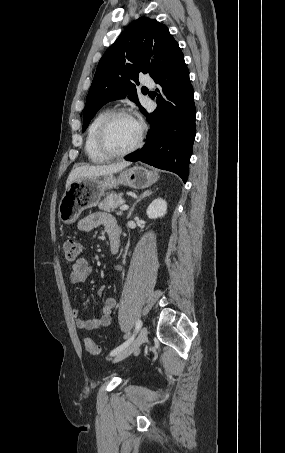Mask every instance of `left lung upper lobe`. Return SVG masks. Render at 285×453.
I'll return each instance as SVG.
<instances>
[{
    "label": "left lung upper lobe",
    "instance_id": "left-lung-upper-lobe-1",
    "mask_svg": "<svg viewBox=\"0 0 285 453\" xmlns=\"http://www.w3.org/2000/svg\"><path fill=\"white\" fill-rule=\"evenodd\" d=\"M177 44L168 27L155 19L141 17L131 23L99 61L86 99L82 131L109 101L128 96L140 106L133 82L137 83L140 73L153 77Z\"/></svg>",
    "mask_w": 285,
    "mask_h": 453
}]
</instances>
